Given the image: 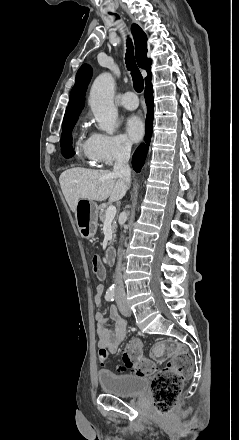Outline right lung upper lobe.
I'll list each match as a JSON object with an SVG mask.
<instances>
[{
	"mask_svg": "<svg viewBox=\"0 0 239 440\" xmlns=\"http://www.w3.org/2000/svg\"><path fill=\"white\" fill-rule=\"evenodd\" d=\"M131 32L135 44V56L137 64L139 67L145 69L149 76L151 75V59L147 58V36L136 24L131 26ZM91 76L92 69L87 64L82 65L78 70L75 85L72 88L68 107L64 115L63 125L77 120L81 110L84 107V95Z\"/></svg>",
	"mask_w": 239,
	"mask_h": 440,
	"instance_id": "obj_1",
	"label": "right lung upper lobe"
}]
</instances>
